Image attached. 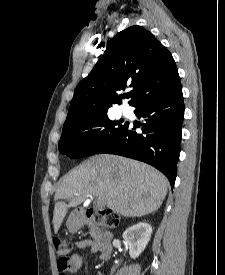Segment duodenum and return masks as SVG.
Returning a JSON list of instances; mask_svg holds the SVG:
<instances>
[{"instance_id":"1","label":"duodenum","mask_w":225,"mask_h":275,"mask_svg":"<svg viewBox=\"0 0 225 275\" xmlns=\"http://www.w3.org/2000/svg\"><path fill=\"white\" fill-rule=\"evenodd\" d=\"M97 212V209L91 208L87 212L83 209H79L75 214L79 217L80 221L87 225L93 222L92 215ZM93 229L96 233V245L98 249L99 259L106 261L110 258L113 251V234L111 231L103 228L93 222Z\"/></svg>"}]
</instances>
